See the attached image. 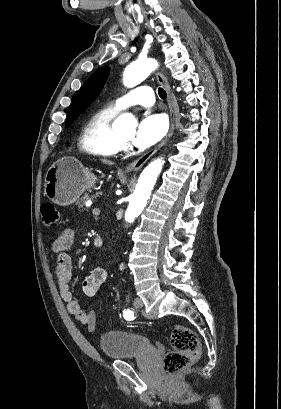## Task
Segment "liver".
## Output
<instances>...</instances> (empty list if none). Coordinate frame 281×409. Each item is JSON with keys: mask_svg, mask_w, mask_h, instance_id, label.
<instances>
[{"mask_svg": "<svg viewBox=\"0 0 281 409\" xmlns=\"http://www.w3.org/2000/svg\"><path fill=\"white\" fill-rule=\"evenodd\" d=\"M100 160H102L104 164H114V162H112V160H108V158H100Z\"/></svg>", "mask_w": 281, "mask_h": 409, "instance_id": "6515ba94", "label": "liver"}]
</instances>
